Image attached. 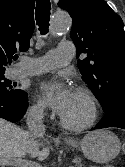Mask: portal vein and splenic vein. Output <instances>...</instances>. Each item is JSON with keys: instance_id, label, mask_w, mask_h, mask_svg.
I'll use <instances>...</instances> for the list:
<instances>
[{"instance_id": "18ae733b", "label": "portal vein and splenic vein", "mask_w": 125, "mask_h": 167, "mask_svg": "<svg viewBox=\"0 0 125 167\" xmlns=\"http://www.w3.org/2000/svg\"><path fill=\"white\" fill-rule=\"evenodd\" d=\"M77 162L76 159L73 160V163ZM10 165L14 167H41L39 164L23 160L22 158H2L0 159V165ZM73 167V166H71Z\"/></svg>"}]
</instances>
